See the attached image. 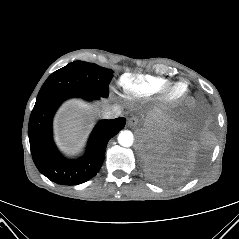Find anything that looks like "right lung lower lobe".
<instances>
[{"instance_id": "98d812e1", "label": "right lung lower lobe", "mask_w": 239, "mask_h": 239, "mask_svg": "<svg viewBox=\"0 0 239 239\" xmlns=\"http://www.w3.org/2000/svg\"><path fill=\"white\" fill-rule=\"evenodd\" d=\"M72 96L99 99L82 93H54L36 100L32 110L28 135L33 161L38 170L51 181L62 185H77L94 177L100 170L110 138L126 123L125 118L100 121L92 132L85 154L76 160L62 157L52 140V118L59 105Z\"/></svg>"}]
</instances>
